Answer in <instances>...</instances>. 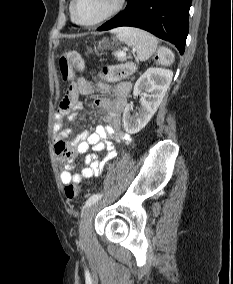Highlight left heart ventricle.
<instances>
[{"mask_svg":"<svg viewBox=\"0 0 233 284\" xmlns=\"http://www.w3.org/2000/svg\"><path fill=\"white\" fill-rule=\"evenodd\" d=\"M115 0H77L75 14L81 22H93L106 14Z\"/></svg>","mask_w":233,"mask_h":284,"instance_id":"left-heart-ventricle-1","label":"left heart ventricle"}]
</instances>
